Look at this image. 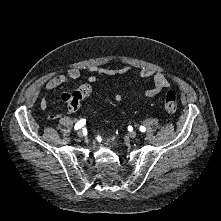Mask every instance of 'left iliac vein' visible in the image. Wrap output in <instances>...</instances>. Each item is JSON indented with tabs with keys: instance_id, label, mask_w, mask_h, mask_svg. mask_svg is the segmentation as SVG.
Instances as JSON below:
<instances>
[{
	"instance_id": "left-iliac-vein-1",
	"label": "left iliac vein",
	"mask_w": 221,
	"mask_h": 221,
	"mask_svg": "<svg viewBox=\"0 0 221 221\" xmlns=\"http://www.w3.org/2000/svg\"><path fill=\"white\" fill-rule=\"evenodd\" d=\"M128 135H129L131 138L137 137V133H136L135 131L129 132Z\"/></svg>"
}]
</instances>
